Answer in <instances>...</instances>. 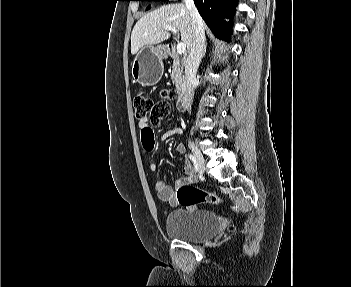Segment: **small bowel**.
Listing matches in <instances>:
<instances>
[{"instance_id": "obj_1", "label": "small bowel", "mask_w": 351, "mask_h": 287, "mask_svg": "<svg viewBox=\"0 0 351 287\" xmlns=\"http://www.w3.org/2000/svg\"><path fill=\"white\" fill-rule=\"evenodd\" d=\"M138 126L141 129V145L143 148H145V150H142V156H156V150H154L157 139L155 136V127H151V124H148V119L146 117L139 119ZM182 133L183 129L181 126L173 125L169 130L165 131L161 135L160 140L164 141L173 135H181ZM175 150L177 153L183 155L186 148L183 143H178ZM147 168L150 172H155L157 166L155 163L151 162L147 165ZM183 173L184 176L176 181V187L178 188L182 185L193 183L195 181L193 167L188 159L184 160ZM155 189L160 200L169 202L173 206L178 205L175 191L162 179L155 180Z\"/></svg>"}]
</instances>
